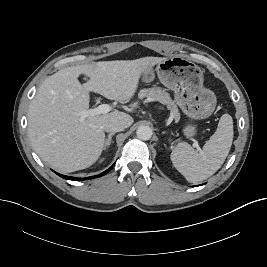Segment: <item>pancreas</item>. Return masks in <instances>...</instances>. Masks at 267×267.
I'll return each mask as SVG.
<instances>
[{
	"label": "pancreas",
	"mask_w": 267,
	"mask_h": 267,
	"mask_svg": "<svg viewBox=\"0 0 267 267\" xmlns=\"http://www.w3.org/2000/svg\"><path fill=\"white\" fill-rule=\"evenodd\" d=\"M138 97L140 99L147 98L148 100L158 101L162 104L167 105V108L171 112V117L174 118L175 121H178L180 119L178 107L171 99L169 93L165 91V89H162L161 87L142 89L140 90Z\"/></svg>",
	"instance_id": "1"
}]
</instances>
